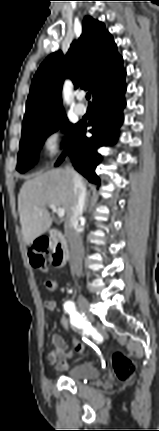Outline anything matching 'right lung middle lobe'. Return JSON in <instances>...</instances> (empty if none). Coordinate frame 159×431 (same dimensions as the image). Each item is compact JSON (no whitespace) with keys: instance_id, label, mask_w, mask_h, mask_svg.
<instances>
[{"instance_id":"right-lung-middle-lobe-1","label":"right lung middle lobe","mask_w":159,"mask_h":431,"mask_svg":"<svg viewBox=\"0 0 159 431\" xmlns=\"http://www.w3.org/2000/svg\"><path fill=\"white\" fill-rule=\"evenodd\" d=\"M77 126L78 123H68L65 113H60L34 127L22 131L16 169L20 173H24L33 166L37 161L39 150L50 134L56 132L59 128H63L68 133L69 137H71L77 129ZM66 142L67 141H65L63 145H65Z\"/></svg>"}]
</instances>
